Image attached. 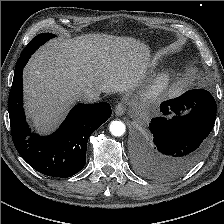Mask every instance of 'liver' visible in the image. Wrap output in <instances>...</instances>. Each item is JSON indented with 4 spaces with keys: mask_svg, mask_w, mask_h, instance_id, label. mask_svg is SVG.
Returning a JSON list of instances; mask_svg holds the SVG:
<instances>
[{
    "mask_svg": "<svg viewBox=\"0 0 224 224\" xmlns=\"http://www.w3.org/2000/svg\"><path fill=\"white\" fill-rule=\"evenodd\" d=\"M149 60V47L129 37L85 34L53 39L24 68L26 114L37 131L48 133L82 91H132L145 77Z\"/></svg>",
    "mask_w": 224,
    "mask_h": 224,
    "instance_id": "6515ba94",
    "label": "liver"
}]
</instances>
